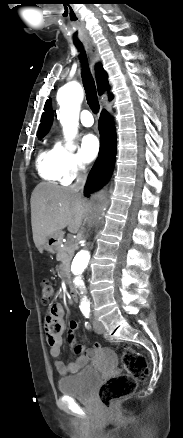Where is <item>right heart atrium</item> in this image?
I'll return each instance as SVG.
<instances>
[{"instance_id":"right-heart-atrium-1","label":"right heart atrium","mask_w":183,"mask_h":438,"mask_svg":"<svg viewBox=\"0 0 183 438\" xmlns=\"http://www.w3.org/2000/svg\"><path fill=\"white\" fill-rule=\"evenodd\" d=\"M56 151L57 169L64 182L76 178L85 169L82 157L78 152L68 149L61 143H57Z\"/></svg>"}]
</instances>
